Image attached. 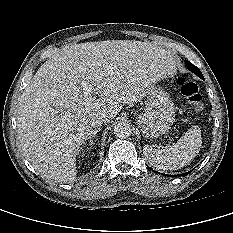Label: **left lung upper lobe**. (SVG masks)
<instances>
[{
  "instance_id": "left-lung-upper-lobe-1",
  "label": "left lung upper lobe",
  "mask_w": 233,
  "mask_h": 233,
  "mask_svg": "<svg viewBox=\"0 0 233 233\" xmlns=\"http://www.w3.org/2000/svg\"><path fill=\"white\" fill-rule=\"evenodd\" d=\"M185 64H186V66L188 67V69L191 71V72H193V73H195L197 76H199L201 79L202 78H204L203 77V75H202V73H201V71L198 69V67H196L195 65H193L191 62H189V61H185Z\"/></svg>"
}]
</instances>
